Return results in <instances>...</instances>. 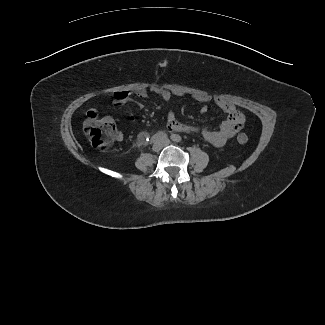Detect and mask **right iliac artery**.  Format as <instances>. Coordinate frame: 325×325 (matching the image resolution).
<instances>
[{"label": "right iliac artery", "mask_w": 325, "mask_h": 325, "mask_svg": "<svg viewBox=\"0 0 325 325\" xmlns=\"http://www.w3.org/2000/svg\"><path fill=\"white\" fill-rule=\"evenodd\" d=\"M167 138V134L164 133V132H159V133H156L155 135L152 136L151 138V143H156V142H159L161 140H164Z\"/></svg>", "instance_id": "1"}]
</instances>
